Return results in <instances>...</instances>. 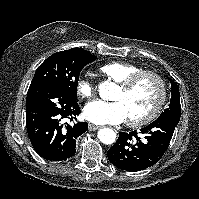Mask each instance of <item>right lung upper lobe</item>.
I'll use <instances>...</instances> for the list:
<instances>
[{
    "instance_id": "cb5924a9",
    "label": "right lung upper lobe",
    "mask_w": 199,
    "mask_h": 199,
    "mask_svg": "<svg viewBox=\"0 0 199 199\" xmlns=\"http://www.w3.org/2000/svg\"><path fill=\"white\" fill-rule=\"evenodd\" d=\"M73 49H78V50H80V49H82V48H73Z\"/></svg>"
}]
</instances>
